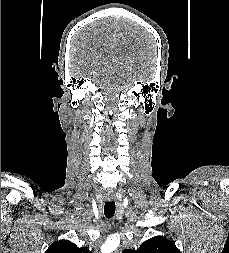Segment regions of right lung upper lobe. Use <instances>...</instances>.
<instances>
[{
  "instance_id": "cb5924a9",
  "label": "right lung upper lobe",
  "mask_w": 229,
  "mask_h": 253,
  "mask_svg": "<svg viewBox=\"0 0 229 253\" xmlns=\"http://www.w3.org/2000/svg\"><path fill=\"white\" fill-rule=\"evenodd\" d=\"M45 253H91L86 247H77L68 240H60L53 243Z\"/></svg>"
}]
</instances>
